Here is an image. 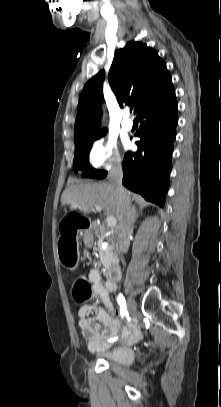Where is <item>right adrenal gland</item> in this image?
I'll list each match as a JSON object with an SVG mask.
<instances>
[{
    "mask_svg": "<svg viewBox=\"0 0 221 407\" xmlns=\"http://www.w3.org/2000/svg\"><path fill=\"white\" fill-rule=\"evenodd\" d=\"M131 217H132V221H133V223H135V222H136V220H137V219H138V217H139V213L137 212V210H136V207H135V206H133V207H132Z\"/></svg>",
    "mask_w": 221,
    "mask_h": 407,
    "instance_id": "right-adrenal-gland-1",
    "label": "right adrenal gland"
}]
</instances>
